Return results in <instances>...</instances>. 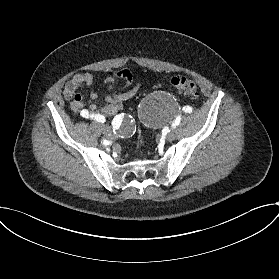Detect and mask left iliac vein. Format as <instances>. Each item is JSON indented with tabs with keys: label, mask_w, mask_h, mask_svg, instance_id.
Masks as SVG:
<instances>
[{
	"label": "left iliac vein",
	"mask_w": 279,
	"mask_h": 279,
	"mask_svg": "<svg viewBox=\"0 0 279 279\" xmlns=\"http://www.w3.org/2000/svg\"><path fill=\"white\" fill-rule=\"evenodd\" d=\"M166 138H167L168 141H173L174 138H175L174 132L171 131V132L167 133Z\"/></svg>",
	"instance_id": "1"
}]
</instances>
